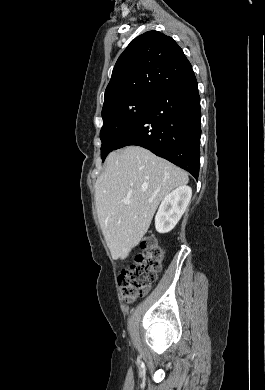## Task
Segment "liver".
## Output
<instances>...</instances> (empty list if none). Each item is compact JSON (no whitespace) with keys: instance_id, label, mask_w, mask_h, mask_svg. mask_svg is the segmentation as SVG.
<instances>
[{"instance_id":"1","label":"liver","mask_w":265,"mask_h":390,"mask_svg":"<svg viewBox=\"0 0 265 390\" xmlns=\"http://www.w3.org/2000/svg\"><path fill=\"white\" fill-rule=\"evenodd\" d=\"M188 181L186 172L143 147L127 146L109 154L95 184V204L113 259L127 258L164 196ZM124 198L130 203L124 204Z\"/></svg>"}]
</instances>
